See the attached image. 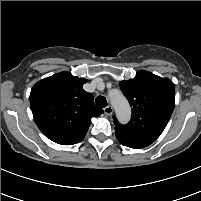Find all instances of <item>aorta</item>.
Segmentation results:
<instances>
[{"label":"aorta","instance_id":"762f6f07","mask_svg":"<svg viewBox=\"0 0 201 201\" xmlns=\"http://www.w3.org/2000/svg\"><path fill=\"white\" fill-rule=\"evenodd\" d=\"M110 101L118 119L121 122H127L130 118V106L127 99L122 93L118 92L116 95H110Z\"/></svg>","mask_w":201,"mask_h":201}]
</instances>
